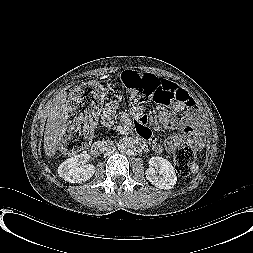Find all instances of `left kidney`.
Instances as JSON below:
<instances>
[{"label":"left kidney","mask_w":253,"mask_h":253,"mask_svg":"<svg viewBox=\"0 0 253 253\" xmlns=\"http://www.w3.org/2000/svg\"><path fill=\"white\" fill-rule=\"evenodd\" d=\"M149 168L145 174L151 184L169 190L176 184L177 176L172 164L163 157H152L149 160Z\"/></svg>","instance_id":"5707ae66"}]
</instances>
